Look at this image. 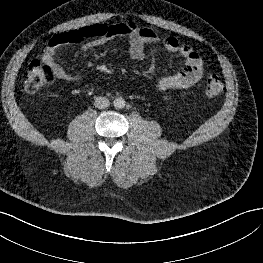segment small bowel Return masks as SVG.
I'll return each mask as SVG.
<instances>
[{"label": "small bowel", "instance_id": "c3829d8e", "mask_svg": "<svg viewBox=\"0 0 263 263\" xmlns=\"http://www.w3.org/2000/svg\"><path fill=\"white\" fill-rule=\"evenodd\" d=\"M115 37L128 39L129 54L134 60H142L145 56V45L155 43H162L167 51L177 53L185 59V67L180 72L159 79L157 87L160 91H174L191 87L203 76V60L191 45L181 43L174 36L161 38L154 30L137 26L131 21L93 24L58 33L49 39L41 59L53 70L58 79L76 81L80 78V74L68 71L56 61L57 48L64 45L81 44L82 49L87 51L101 46Z\"/></svg>", "mask_w": 263, "mask_h": 263}]
</instances>
